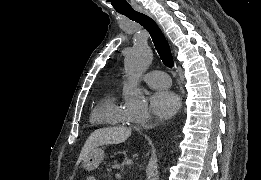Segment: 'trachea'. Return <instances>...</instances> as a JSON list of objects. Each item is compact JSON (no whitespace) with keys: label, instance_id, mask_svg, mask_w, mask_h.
Masks as SVG:
<instances>
[{"label":"trachea","instance_id":"3493384b","mask_svg":"<svg viewBox=\"0 0 261 180\" xmlns=\"http://www.w3.org/2000/svg\"><path fill=\"white\" fill-rule=\"evenodd\" d=\"M121 15H125L133 22H137L142 27H144L147 32H149L152 40L154 42L155 48L159 53V56L166 67L173 68L174 60L171 53V49L165 35L161 31V28L158 27L157 23L145 15L144 13L137 12L134 9L126 10V11H119Z\"/></svg>","mask_w":261,"mask_h":180}]
</instances>
